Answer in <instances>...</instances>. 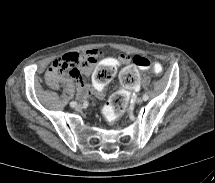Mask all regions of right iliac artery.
<instances>
[{"label": "right iliac artery", "mask_w": 215, "mask_h": 183, "mask_svg": "<svg viewBox=\"0 0 215 183\" xmlns=\"http://www.w3.org/2000/svg\"><path fill=\"white\" fill-rule=\"evenodd\" d=\"M76 105H77V102H75V101L70 102L71 107H75Z\"/></svg>", "instance_id": "obj_1"}]
</instances>
